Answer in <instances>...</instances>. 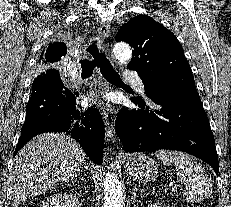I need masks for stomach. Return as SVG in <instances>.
Instances as JSON below:
<instances>
[{"label": "stomach", "mask_w": 231, "mask_h": 207, "mask_svg": "<svg viewBox=\"0 0 231 207\" xmlns=\"http://www.w3.org/2000/svg\"><path fill=\"white\" fill-rule=\"evenodd\" d=\"M127 175L134 181L148 183L154 180L158 174L157 163L146 155L132 156L125 160Z\"/></svg>", "instance_id": "obj_1"}]
</instances>
